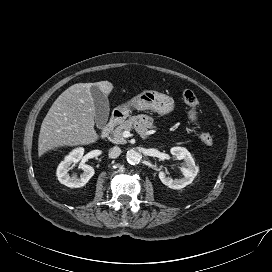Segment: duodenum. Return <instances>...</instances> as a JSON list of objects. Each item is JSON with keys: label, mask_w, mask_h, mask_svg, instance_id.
I'll return each instance as SVG.
<instances>
[{"label": "duodenum", "mask_w": 272, "mask_h": 272, "mask_svg": "<svg viewBox=\"0 0 272 272\" xmlns=\"http://www.w3.org/2000/svg\"><path fill=\"white\" fill-rule=\"evenodd\" d=\"M124 116L125 113L121 108L114 110L108 122L105 124L100 132L101 137H107L114 129V127H116L123 120Z\"/></svg>", "instance_id": "duodenum-1"}]
</instances>
